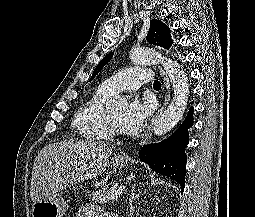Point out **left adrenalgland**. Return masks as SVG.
Segmentation results:
<instances>
[{"label": "left adrenal gland", "mask_w": 255, "mask_h": 217, "mask_svg": "<svg viewBox=\"0 0 255 217\" xmlns=\"http://www.w3.org/2000/svg\"><path fill=\"white\" fill-rule=\"evenodd\" d=\"M135 188H136V184H133L131 191H130V196H129V209H130V214L129 216H131L134 212V207H133V200L139 195L140 191L138 194L135 193Z\"/></svg>", "instance_id": "left-adrenal-gland-1"}]
</instances>
